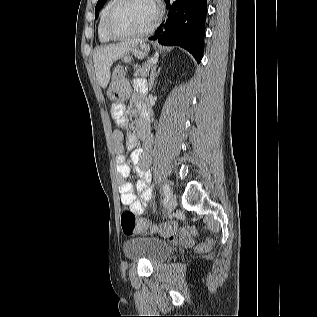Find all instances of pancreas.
<instances>
[{"mask_svg": "<svg viewBox=\"0 0 317 317\" xmlns=\"http://www.w3.org/2000/svg\"><path fill=\"white\" fill-rule=\"evenodd\" d=\"M136 65L138 66L139 64L137 63ZM153 68V65L149 61H144L141 66L136 68L134 76L146 77Z\"/></svg>", "mask_w": 317, "mask_h": 317, "instance_id": "pancreas-1", "label": "pancreas"}]
</instances>
